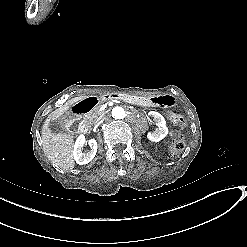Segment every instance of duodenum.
Returning a JSON list of instances; mask_svg holds the SVG:
<instances>
[{"label":"duodenum","instance_id":"1","mask_svg":"<svg viewBox=\"0 0 247 247\" xmlns=\"http://www.w3.org/2000/svg\"><path fill=\"white\" fill-rule=\"evenodd\" d=\"M121 100L126 102H135L136 97L126 93H109L101 97H88L78 102L72 109L70 126L77 132L83 133L86 130L85 115L95 109L101 101Z\"/></svg>","mask_w":247,"mask_h":247}]
</instances>
